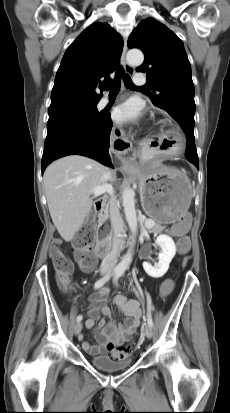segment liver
I'll list each match as a JSON object with an SVG mask.
<instances>
[{
  "label": "liver",
  "mask_w": 230,
  "mask_h": 413,
  "mask_svg": "<svg viewBox=\"0 0 230 413\" xmlns=\"http://www.w3.org/2000/svg\"><path fill=\"white\" fill-rule=\"evenodd\" d=\"M108 169L91 158L69 155L51 163L43 184L52 221L61 237L69 242L82 227L93 201V188L107 184Z\"/></svg>",
  "instance_id": "liver-1"
}]
</instances>
